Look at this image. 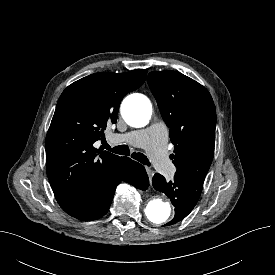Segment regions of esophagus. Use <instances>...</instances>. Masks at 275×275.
Segmentation results:
<instances>
[{
    "label": "esophagus",
    "instance_id": "1",
    "mask_svg": "<svg viewBox=\"0 0 275 275\" xmlns=\"http://www.w3.org/2000/svg\"><path fill=\"white\" fill-rule=\"evenodd\" d=\"M146 171H147V174L149 176V179L151 180L152 177H153V175H154L153 170L151 168H149V167H146Z\"/></svg>",
    "mask_w": 275,
    "mask_h": 275
}]
</instances>
